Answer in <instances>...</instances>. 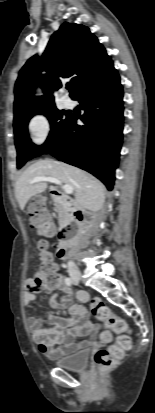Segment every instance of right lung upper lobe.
<instances>
[{"label":"right lung upper lobe","mask_w":155,"mask_h":413,"mask_svg":"<svg viewBox=\"0 0 155 413\" xmlns=\"http://www.w3.org/2000/svg\"><path fill=\"white\" fill-rule=\"evenodd\" d=\"M112 67L111 57L89 28L63 23L52 35L41 60L33 56L19 72L15 84L14 122L55 107L50 89L60 88L63 78H71L73 99L84 85ZM42 68L47 71V77L40 74ZM37 86L46 89L47 95L34 97Z\"/></svg>","instance_id":"right-lung-upper-lobe-1"}]
</instances>
